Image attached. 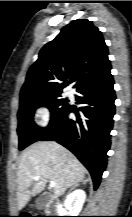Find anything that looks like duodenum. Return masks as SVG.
I'll use <instances>...</instances> for the list:
<instances>
[{"mask_svg":"<svg viewBox=\"0 0 132 217\" xmlns=\"http://www.w3.org/2000/svg\"><path fill=\"white\" fill-rule=\"evenodd\" d=\"M56 212V209L53 207L50 209L49 213H55Z\"/></svg>","mask_w":132,"mask_h":217,"instance_id":"obj_1","label":"duodenum"}]
</instances>
